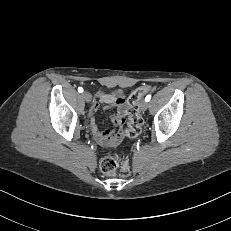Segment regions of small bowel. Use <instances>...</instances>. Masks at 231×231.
<instances>
[{"label":"small bowel","instance_id":"small-bowel-1","mask_svg":"<svg viewBox=\"0 0 231 231\" xmlns=\"http://www.w3.org/2000/svg\"><path fill=\"white\" fill-rule=\"evenodd\" d=\"M99 99L98 102H94L90 107L89 114L90 118V128L95 140L103 146H116L120 143L123 138V125L125 123V112L127 106V97L125 93L116 92H99L97 94ZM100 104L104 107H116V112H114L110 120L114 125V128H109L106 130H101L99 127V120L96 117V112L99 109Z\"/></svg>","mask_w":231,"mask_h":231}]
</instances>
